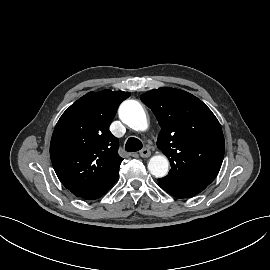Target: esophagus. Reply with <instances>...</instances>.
<instances>
[{"mask_svg": "<svg viewBox=\"0 0 270 270\" xmlns=\"http://www.w3.org/2000/svg\"><path fill=\"white\" fill-rule=\"evenodd\" d=\"M139 155L142 157V158H148L150 155H151V151L149 148H143L140 152H139Z\"/></svg>", "mask_w": 270, "mask_h": 270, "instance_id": "obj_1", "label": "esophagus"}]
</instances>
